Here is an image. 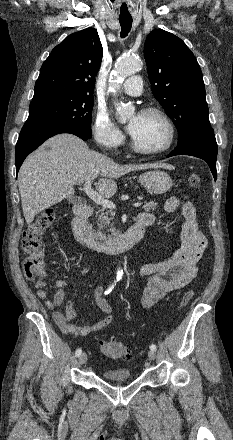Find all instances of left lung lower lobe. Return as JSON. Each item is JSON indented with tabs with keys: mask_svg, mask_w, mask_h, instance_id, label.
<instances>
[{
	"mask_svg": "<svg viewBox=\"0 0 233 440\" xmlns=\"http://www.w3.org/2000/svg\"><path fill=\"white\" fill-rule=\"evenodd\" d=\"M176 155H190L203 159L209 165L216 180L217 143L212 128L199 131L185 141L178 143L175 150L167 157Z\"/></svg>",
	"mask_w": 233,
	"mask_h": 440,
	"instance_id": "1",
	"label": "left lung lower lobe"
}]
</instances>
